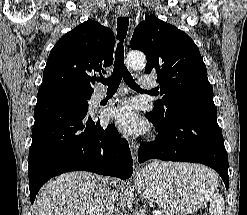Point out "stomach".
<instances>
[{"mask_svg": "<svg viewBox=\"0 0 247 215\" xmlns=\"http://www.w3.org/2000/svg\"><path fill=\"white\" fill-rule=\"evenodd\" d=\"M194 166L155 161L140 170L136 189L172 215L192 214L209 200L217 185L213 172Z\"/></svg>", "mask_w": 247, "mask_h": 215, "instance_id": "obj_1", "label": "stomach"}]
</instances>
